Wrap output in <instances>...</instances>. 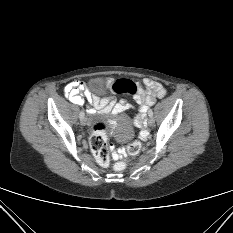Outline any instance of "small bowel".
Instances as JSON below:
<instances>
[{"label":"small bowel","instance_id":"obj_1","mask_svg":"<svg viewBox=\"0 0 233 233\" xmlns=\"http://www.w3.org/2000/svg\"><path fill=\"white\" fill-rule=\"evenodd\" d=\"M137 91L134 94L135 100L139 104V113L135 118V124L141 125L146 115L148 108L153 105L158 98H162L166 94V89L163 85L153 79L145 78L142 83H136ZM64 94L69 100L75 104L83 105L85 96L88 103V113L93 114L99 112L105 115L116 116L124 110L130 108V104L125 101L116 102L113 97H99L91 92L80 80H75L68 83L64 87ZM125 154L124 149H113L112 157L115 160L122 158Z\"/></svg>","mask_w":233,"mask_h":233}]
</instances>
